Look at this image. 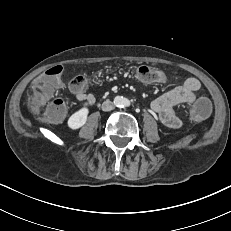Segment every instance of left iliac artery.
<instances>
[{
  "label": "left iliac artery",
  "mask_w": 231,
  "mask_h": 231,
  "mask_svg": "<svg viewBox=\"0 0 231 231\" xmlns=\"http://www.w3.org/2000/svg\"><path fill=\"white\" fill-rule=\"evenodd\" d=\"M130 101L128 100V99H124V101H123V106H125V107H129L130 106Z\"/></svg>",
  "instance_id": "44dca946"
}]
</instances>
